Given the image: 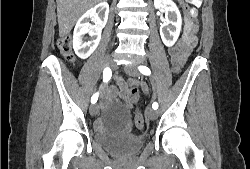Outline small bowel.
Returning <instances> with one entry per match:
<instances>
[{
  "label": "small bowel",
  "instance_id": "c3829d8e",
  "mask_svg": "<svg viewBox=\"0 0 250 169\" xmlns=\"http://www.w3.org/2000/svg\"><path fill=\"white\" fill-rule=\"evenodd\" d=\"M189 28L193 30V35L195 36V33L197 31V26L195 24H191ZM195 43L189 42L188 39L185 37V40L179 46L172 47L169 50V55L171 57L172 65L177 64L180 66V68H182L184 63L190 56ZM115 82L117 85L116 87L108 86L106 84H102L100 87L101 102L108 107L112 106L115 98H119L124 102L125 110L129 111L132 108V102L129 98V91H128L129 88L132 86H140L145 92L147 91V86L145 83L139 82L134 79L125 80L121 76H115ZM95 126L97 129H101L102 122L98 120Z\"/></svg>",
  "mask_w": 250,
  "mask_h": 169
}]
</instances>
